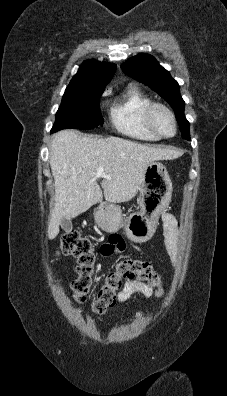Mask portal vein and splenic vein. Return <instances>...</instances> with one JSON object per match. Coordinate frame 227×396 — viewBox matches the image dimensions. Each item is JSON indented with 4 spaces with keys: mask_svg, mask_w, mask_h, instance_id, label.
I'll use <instances>...</instances> for the list:
<instances>
[{
    "mask_svg": "<svg viewBox=\"0 0 227 396\" xmlns=\"http://www.w3.org/2000/svg\"><path fill=\"white\" fill-rule=\"evenodd\" d=\"M97 174H98L99 176L106 177V176L104 175V168H103V167H99V168L97 169ZM107 178H108V177H107Z\"/></svg>",
    "mask_w": 227,
    "mask_h": 396,
    "instance_id": "18ae733b",
    "label": "portal vein and splenic vein"
}]
</instances>
